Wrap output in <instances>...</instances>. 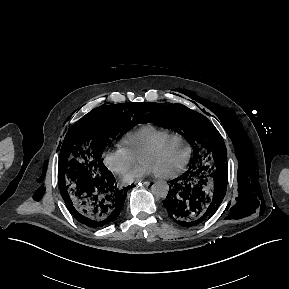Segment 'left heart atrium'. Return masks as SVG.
<instances>
[{"mask_svg":"<svg viewBox=\"0 0 289 289\" xmlns=\"http://www.w3.org/2000/svg\"><path fill=\"white\" fill-rule=\"evenodd\" d=\"M156 174L154 169L147 163L141 162L134 169L129 171L124 177L123 181L126 183L137 182L145 176Z\"/></svg>","mask_w":289,"mask_h":289,"instance_id":"obj_1","label":"left heart atrium"}]
</instances>
